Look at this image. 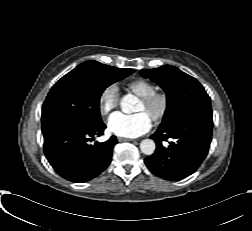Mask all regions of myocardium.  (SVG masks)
Returning <instances> with one entry per match:
<instances>
[{
  "label": "myocardium",
  "instance_id": "f54148a6",
  "mask_svg": "<svg viewBox=\"0 0 252 231\" xmlns=\"http://www.w3.org/2000/svg\"><path fill=\"white\" fill-rule=\"evenodd\" d=\"M140 101L151 112L150 118L154 122L162 121L166 117L170 107L169 96L164 91L155 90L144 97H140Z\"/></svg>",
  "mask_w": 252,
  "mask_h": 231
}]
</instances>
